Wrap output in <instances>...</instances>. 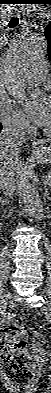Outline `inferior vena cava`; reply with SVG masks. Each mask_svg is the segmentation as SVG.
I'll return each mask as SVG.
<instances>
[{"mask_svg":"<svg viewBox=\"0 0 51 393\" xmlns=\"http://www.w3.org/2000/svg\"><path fill=\"white\" fill-rule=\"evenodd\" d=\"M25 135L23 127L14 121L7 123L0 133V154L5 155L8 151L18 156L20 147L23 145ZM6 160L0 159V164L4 165ZM0 189L6 196H11L16 191L14 171L8 167L0 169Z\"/></svg>","mask_w":51,"mask_h":393,"instance_id":"inferior-vena-cava-1","label":"inferior vena cava"}]
</instances>
